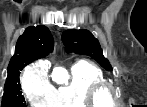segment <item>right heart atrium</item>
I'll return each instance as SVG.
<instances>
[{
    "label": "right heart atrium",
    "mask_w": 147,
    "mask_h": 107,
    "mask_svg": "<svg viewBox=\"0 0 147 107\" xmlns=\"http://www.w3.org/2000/svg\"><path fill=\"white\" fill-rule=\"evenodd\" d=\"M22 87L29 103L36 106L48 104L54 92L48 79L47 69L39 64L31 66L26 71Z\"/></svg>",
    "instance_id": "d8ad5b80"
}]
</instances>
